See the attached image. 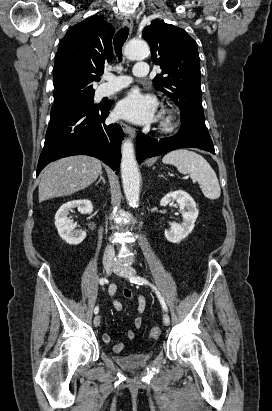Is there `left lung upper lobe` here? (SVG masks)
Wrapping results in <instances>:
<instances>
[{
	"label": "left lung upper lobe",
	"mask_w": 272,
	"mask_h": 411,
	"mask_svg": "<svg viewBox=\"0 0 272 411\" xmlns=\"http://www.w3.org/2000/svg\"><path fill=\"white\" fill-rule=\"evenodd\" d=\"M143 38L150 45L153 62L162 69L153 83L179 106L181 122H205L196 42L183 29L163 21L147 26Z\"/></svg>",
	"instance_id": "obj_1"
}]
</instances>
